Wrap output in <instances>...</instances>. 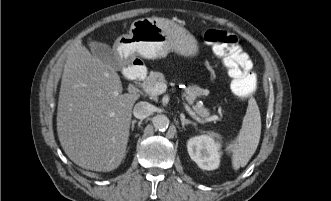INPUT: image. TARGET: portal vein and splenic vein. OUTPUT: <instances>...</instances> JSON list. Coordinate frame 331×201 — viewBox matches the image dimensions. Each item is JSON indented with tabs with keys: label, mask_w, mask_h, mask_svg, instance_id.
<instances>
[{
	"label": "portal vein and splenic vein",
	"mask_w": 331,
	"mask_h": 201,
	"mask_svg": "<svg viewBox=\"0 0 331 201\" xmlns=\"http://www.w3.org/2000/svg\"><path fill=\"white\" fill-rule=\"evenodd\" d=\"M167 89V85L164 82H158L150 91L153 94H163ZM185 110L189 113V115L194 118L199 123H204V120H202L200 117H198L195 112L190 108L188 104H184ZM211 120H218L217 116H212L208 119Z\"/></svg>",
	"instance_id": "1"
}]
</instances>
